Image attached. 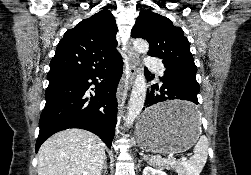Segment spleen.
Masks as SVG:
<instances>
[{
    "mask_svg": "<svg viewBox=\"0 0 251 175\" xmlns=\"http://www.w3.org/2000/svg\"><path fill=\"white\" fill-rule=\"evenodd\" d=\"M194 119L199 117V111H192ZM208 157V139L206 135H200L192 157L184 163H175L172 161L174 169L178 175H199L201 173Z\"/></svg>",
    "mask_w": 251,
    "mask_h": 175,
    "instance_id": "spleen-1",
    "label": "spleen"
}]
</instances>
